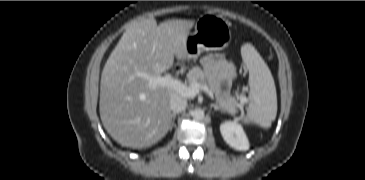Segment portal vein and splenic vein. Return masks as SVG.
<instances>
[{"label":"portal vein and splenic vein","instance_id":"1","mask_svg":"<svg viewBox=\"0 0 365 180\" xmlns=\"http://www.w3.org/2000/svg\"><path fill=\"white\" fill-rule=\"evenodd\" d=\"M149 82V87L155 89L157 86L167 87L175 90L179 94L187 98H193L203 90L208 95H212L211 90L206 84L193 82L189 86L174 78L170 74L165 76H149L147 74H139Z\"/></svg>","mask_w":365,"mask_h":180}]
</instances>
